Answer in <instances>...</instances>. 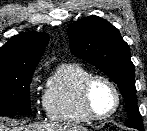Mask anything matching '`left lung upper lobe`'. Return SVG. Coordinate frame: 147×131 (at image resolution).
<instances>
[{"label":"left lung upper lobe","mask_w":147,"mask_h":131,"mask_svg":"<svg viewBox=\"0 0 147 131\" xmlns=\"http://www.w3.org/2000/svg\"><path fill=\"white\" fill-rule=\"evenodd\" d=\"M71 52L94 65L118 86L128 109V127L143 130L137 107L135 67L128 44L119 31L106 20L89 16L72 23L68 28Z\"/></svg>","instance_id":"1"}]
</instances>
